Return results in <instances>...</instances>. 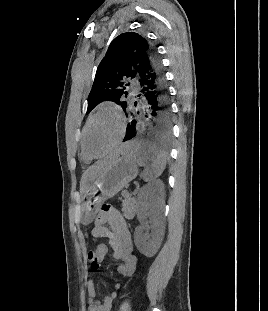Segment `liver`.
Segmentation results:
<instances>
[{"mask_svg":"<svg viewBox=\"0 0 268 311\" xmlns=\"http://www.w3.org/2000/svg\"><path fill=\"white\" fill-rule=\"evenodd\" d=\"M126 149L124 146L121 151ZM117 156V155H116ZM116 156H110L104 160L98 161L96 164L91 166L82 176V184L85 185L88 182L94 181L115 159Z\"/></svg>","mask_w":268,"mask_h":311,"instance_id":"1","label":"liver"}]
</instances>
